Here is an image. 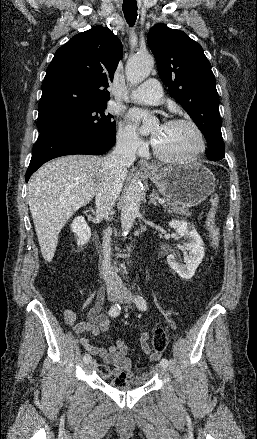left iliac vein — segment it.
I'll use <instances>...</instances> for the list:
<instances>
[{"label": "left iliac vein", "instance_id": "1", "mask_svg": "<svg viewBox=\"0 0 257 439\" xmlns=\"http://www.w3.org/2000/svg\"><path fill=\"white\" fill-rule=\"evenodd\" d=\"M132 300H133V296L131 295V293L128 290H124L120 293L119 301L121 303H130ZM158 371L161 374H166L167 373V366L160 364L158 366Z\"/></svg>", "mask_w": 257, "mask_h": 439}]
</instances>
